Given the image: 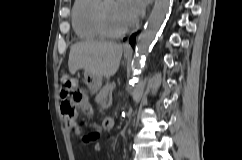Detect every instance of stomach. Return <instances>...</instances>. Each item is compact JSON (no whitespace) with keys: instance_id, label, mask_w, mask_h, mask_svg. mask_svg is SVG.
<instances>
[{"instance_id":"stomach-1","label":"stomach","mask_w":242,"mask_h":160,"mask_svg":"<svg viewBox=\"0 0 242 160\" xmlns=\"http://www.w3.org/2000/svg\"><path fill=\"white\" fill-rule=\"evenodd\" d=\"M125 57L128 58V55L125 54ZM84 82L91 94L97 93L102 86V79L92 74H86Z\"/></svg>"}]
</instances>
